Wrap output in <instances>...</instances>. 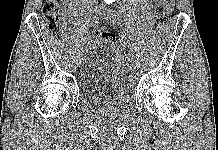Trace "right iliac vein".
<instances>
[{
	"label": "right iliac vein",
	"instance_id": "1",
	"mask_svg": "<svg viewBox=\"0 0 218 150\" xmlns=\"http://www.w3.org/2000/svg\"><path fill=\"white\" fill-rule=\"evenodd\" d=\"M100 11L98 9H94L93 12H92V18H96V19H99L100 17ZM86 52V46L83 44L81 46V50H80V53L81 54H84Z\"/></svg>",
	"mask_w": 218,
	"mask_h": 150
}]
</instances>
